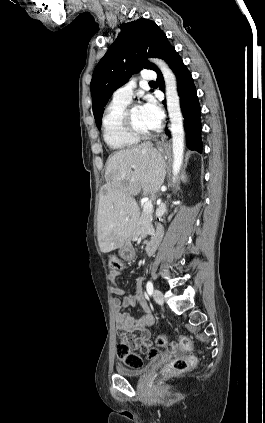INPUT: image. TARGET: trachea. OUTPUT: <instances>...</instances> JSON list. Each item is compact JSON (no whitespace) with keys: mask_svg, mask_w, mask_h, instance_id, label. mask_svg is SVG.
<instances>
[{"mask_svg":"<svg viewBox=\"0 0 265 423\" xmlns=\"http://www.w3.org/2000/svg\"><path fill=\"white\" fill-rule=\"evenodd\" d=\"M156 82H154V81H151V82H149V84H155Z\"/></svg>","mask_w":265,"mask_h":423,"instance_id":"obj_1","label":"trachea"}]
</instances>
